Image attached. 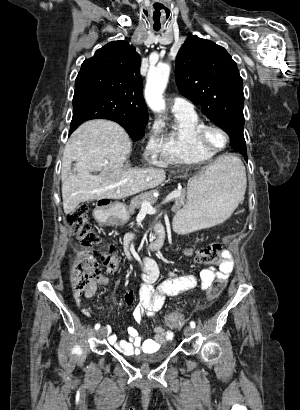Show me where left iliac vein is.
Masks as SVG:
<instances>
[{"instance_id":"1","label":"left iliac vein","mask_w":300,"mask_h":410,"mask_svg":"<svg viewBox=\"0 0 300 410\" xmlns=\"http://www.w3.org/2000/svg\"><path fill=\"white\" fill-rule=\"evenodd\" d=\"M184 334H185V336H187V337L191 336V335L193 334V328H192L191 326H187V327L184 329Z\"/></svg>"}]
</instances>
